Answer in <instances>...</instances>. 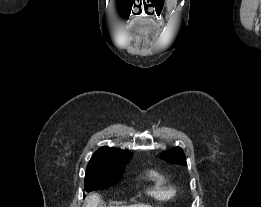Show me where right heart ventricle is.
<instances>
[{"instance_id": "e07e8e85", "label": "right heart ventricle", "mask_w": 261, "mask_h": 207, "mask_svg": "<svg viewBox=\"0 0 261 207\" xmlns=\"http://www.w3.org/2000/svg\"><path fill=\"white\" fill-rule=\"evenodd\" d=\"M149 176L153 181L150 194L160 200H168L176 195L177 187L162 171L151 170Z\"/></svg>"}]
</instances>
